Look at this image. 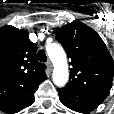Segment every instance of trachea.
I'll return each mask as SVG.
<instances>
[{
	"mask_svg": "<svg viewBox=\"0 0 114 114\" xmlns=\"http://www.w3.org/2000/svg\"><path fill=\"white\" fill-rule=\"evenodd\" d=\"M38 60L40 62H46L47 61V56L44 50H39L37 53Z\"/></svg>",
	"mask_w": 114,
	"mask_h": 114,
	"instance_id": "1",
	"label": "trachea"
}]
</instances>
